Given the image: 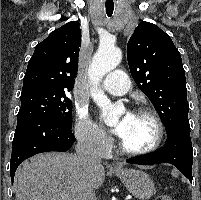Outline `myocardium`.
I'll use <instances>...</instances> for the list:
<instances>
[{"instance_id": "obj_1", "label": "myocardium", "mask_w": 201, "mask_h": 200, "mask_svg": "<svg viewBox=\"0 0 201 200\" xmlns=\"http://www.w3.org/2000/svg\"><path fill=\"white\" fill-rule=\"evenodd\" d=\"M132 114L145 115V116L150 117L156 125L157 137L150 146H148L147 148H144V149H131L125 145V143L122 141V139L120 137V139H119L120 149L124 153L130 154V155H146V154H150V153L156 151L162 145L164 137H165V127H164L163 121L161 120V118L155 111H153L152 109H150L148 107H144V106L135 107L132 110Z\"/></svg>"}]
</instances>
